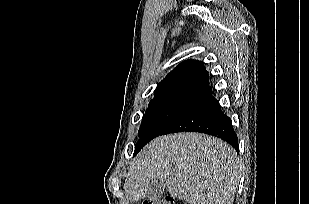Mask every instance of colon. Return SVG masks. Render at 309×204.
<instances>
[{"instance_id":"5ec220e1","label":"colon","mask_w":309,"mask_h":204,"mask_svg":"<svg viewBox=\"0 0 309 204\" xmlns=\"http://www.w3.org/2000/svg\"><path fill=\"white\" fill-rule=\"evenodd\" d=\"M142 204H174L173 199L169 196L161 199H147Z\"/></svg>"}]
</instances>
